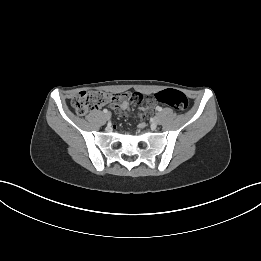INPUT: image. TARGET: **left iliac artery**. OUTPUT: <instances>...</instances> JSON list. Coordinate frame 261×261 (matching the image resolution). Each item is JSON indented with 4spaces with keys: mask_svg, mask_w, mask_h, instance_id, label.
Wrapping results in <instances>:
<instances>
[{
    "mask_svg": "<svg viewBox=\"0 0 261 261\" xmlns=\"http://www.w3.org/2000/svg\"><path fill=\"white\" fill-rule=\"evenodd\" d=\"M156 110H157V111H162V107L157 106V107H156Z\"/></svg>",
    "mask_w": 261,
    "mask_h": 261,
    "instance_id": "1",
    "label": "left iliac artery"
}]
</instances>
